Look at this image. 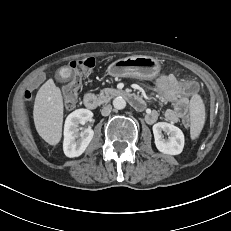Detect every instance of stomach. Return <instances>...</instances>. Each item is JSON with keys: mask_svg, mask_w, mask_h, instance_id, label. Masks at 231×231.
Listing matches in <instances>:
<instances>
[{"mask_svg": "<svg viewBox=\"0 0 231 231\" xmlns=\"http://www.w3.org/2000/svg\"><path fill=\"white\" fill-rule=\"evenodd\" d=\"M160 71L159 61L150 56H129L111 63L107 73L112 77L154 79Z\"/></svg>", "mask_w": 231, "mask_h": 231, "instance_id": "1", "label": "stomach"}]
</instances>
